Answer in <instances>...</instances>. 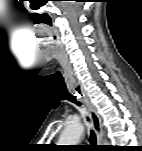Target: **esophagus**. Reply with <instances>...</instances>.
<instances>
[{
    "label": "esophagus",
    "mask_w": 142,
    "mask_h": 151,
    "mask_svg": "<svg viewBox=\"0 0 142 151\" xmlns=\"http://www.w3.org/2000/svg\"><path fill=\"white\" fill-rule=\"evenodd\" d=\"M75 94L78 95L81 98V100L84 102L88 110L89 116L91 118L93 129L97 135V142L98 144H101L103 141L102 121L95 106L90 102L89 98L87 97L85 91L81 86L75 87Z\"/></svg>",
    "instance_id": "34e87169"
}]
</instances>
